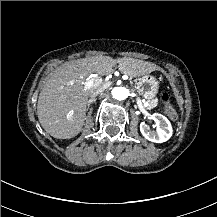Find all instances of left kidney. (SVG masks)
<instances>
[{
	"instance_id": "obj_1",
	"label": "left kidney",
	"mask_w": 217,
	"mask_h": 217,
	"mask_svg": "<svg viewBox=\"0 0 217 217\" xmlns=\"http://www.w3.org/2000/svg\"><path fill=\"white\" fill-rule=\"evenodd\" d=\"M156 130H150V126L145 122L140 124V132L142 136L153 143H163L172 136V128L170 122L161 114L155 113L153 115Z\"/></svg>"
}]
</instances>
